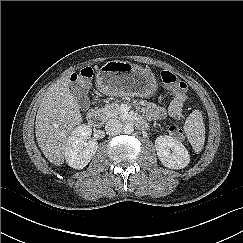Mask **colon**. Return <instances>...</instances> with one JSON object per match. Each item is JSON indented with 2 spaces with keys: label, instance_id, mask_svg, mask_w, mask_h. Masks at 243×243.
Instances as JSON below:
<instances>
[{
  "label": "colon",
  "instance_id": "1",
  "mask_svg": "<svg viewBox=\"0 0 243 243\" xmlns=\"http://www.w3.org/2000/svg\"><path fill=\"white\" fill-rule=\"evenodd\" d=\"M93 76L91 67H84L71 76V82L75 85L84 87ZM162 81L165 85L172 88L176 95L182 96L185 93L186 84L180 80L173 72L163 71L161 74ZM169 133L175 138L183 137V130L180 124L174 123L169 126Z\"/></svg>",
  "mask_w": 243,
  "mask_h": 243
}]
</instances>
